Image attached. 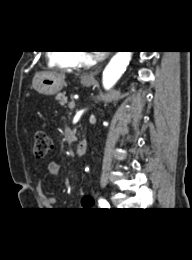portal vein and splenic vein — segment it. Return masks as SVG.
Returning <instances> with one entry per match:
<instances>
[{"instance_id": "obj_1", "label": "portal vein and splenic vein", "mask_w": 192, "mask_h": 260, "mask_svg": "<svg viewBox=\"0 0 192 260\" xmlns=\"http://www.w3.org/2000/svg\"><path fill=\"white\" fill-rule=\"evenodd\" d=\"M70 109H73L75 107V103L74 102H69L68 104Z\"/></svg>"}]
</instances>
